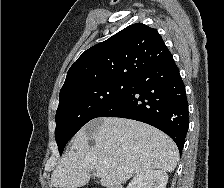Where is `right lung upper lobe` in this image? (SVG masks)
I'll return each mask as SVG.
<instances>
[{
	"instance_id": "obj_1",
	"label": "right lung upper lobe",
	"mask_w": 224,
	"mask_h": 188,
	"mask_svg": "<svg viewBox=\"0 0 224 188\" xmlns=\"http://www.w3.org/2000/svg\"><path fill=\"white\" fill-rule=\"evenodd\" d=\"M171 56L154 28L132 24L81 54L61 91L108 80H131Z\"/></svg>"
}]
</instances>
